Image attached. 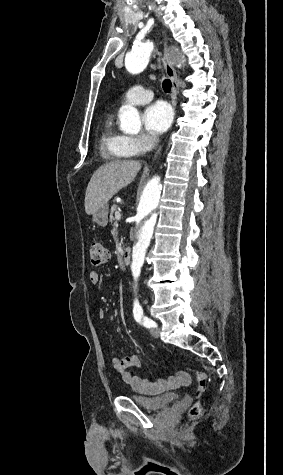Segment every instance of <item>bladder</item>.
I'll use <instances>...</instances> for the list:
<instances>
[{"mask_svg": "<svg viewBox=\"0 0 283 475\" xmlns=\"http://www.w3.org/2000/svg\"><path fill=\"white\" fill-rule=\"evenodd\" d=\"M128 398L137 406L148 411L156 412L158 410L167 408L178 402V397L168 394H160L157 396H141L137 393H129Z\"/></svg>", "mask_w": 283, "mask_h": 475, "instance_id": "1", "label": "bladder"}]
</instances>
